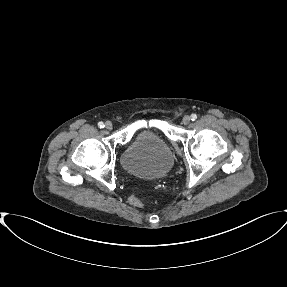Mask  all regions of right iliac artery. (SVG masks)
<instances>
[{
  "label": "right iliac artery",
  "mask_w": 287,
  "mask_h": 287,
  "mask_svg": "<svg viewBox=\"0 0 287 287\" xmlns=\"http://www.w3.org/2000/svg\"><path fill=\"white\" fill-rule=\"evenodd\" d=\"M98 126H99L100 128H104L105 125H104L103 122H99V123H98Z\"/></svg>",
  "instance_id": "obj_1"
}]
</instances>
